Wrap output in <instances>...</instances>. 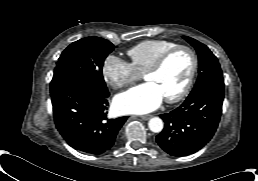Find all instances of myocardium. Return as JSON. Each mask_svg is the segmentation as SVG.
I'll use <instances>...</instances> for the list:
<instances>
[{
    "label": "myocardium",
    "instance_id": "obj_1",
    "mask_svg": "<svg viewBox=\"0 0 258 181\" xmlns=\"http://www.w3.org/2000/svg\"><path fill=\"white\" fill-rule=\"evenodd\" d=\"M178 51H186L189 53L190 57H191V61H192V65H191V70L189 73V77L186 81V84L184 85V87L182 88V90L171 97H166L165 100L168 103H176L179 102L181 100H183L190 92L196 74H197V70H198V57L196 52L194 51L193 48L187 46V45H177L173 48L168 49L167 51L163 52L158 58L157 60L147 69V71L144 73V77L149 75V74H154L159 72L162 67L164 66V64L166 63V61L176 52Z\"/></svg>",
    "mask_w": 258,
    "mask_h": 181
}]
</instances>
